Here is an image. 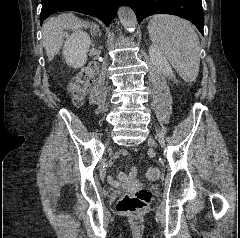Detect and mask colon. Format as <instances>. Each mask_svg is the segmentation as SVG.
Wrapping results in <instances>:
<instances>
[{"label":"colon","mask_w":240,"mask_h":238,"mask_svg":"<svg viewBox=\"0 0 240 238\" xmlns=\"http://www.w3.org/2000/svg\"><path fill=\"white\" fill-rule=\"evenodd\" d=\"M97 69L95 65H89L81 69L70 83V96L76 106H81L87 92L95 78ZM146 176L150 180H156L160 176L157 167H150ZM151 200L150 191L143 189L125 193L117 203V210L125 214H137L144 210Z\"/></svg>","instance_id":"1"}]
</instances>
